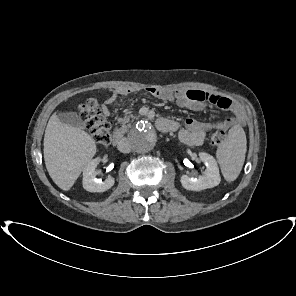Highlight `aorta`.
<instances>
[{"mask_svg": "<svg viewBox=\"0 0 296 296\" xmlns=\"http://www.w3.org/2000/svg\"><path fill=\"white\" fill-rule=\"evenodd\" d=\"M131 148L138 153H148L159 144V134L146 121H140L131 130L128 136Z\"/></svg>", "mask_w": 296, "mask_h": 296, "instance_id": "1", "label": "aorta"}]
</instances>
